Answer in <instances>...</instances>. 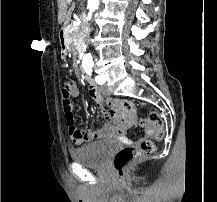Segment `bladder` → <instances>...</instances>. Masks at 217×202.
I'll use <instances>...</instances> for the list:
<instances>
[{"mask_svg":"<svg viewBox=\"0 0 217 202\" xmlns=\"http://www.w3.org/2000/svg\"><path fill=\"white\" fill-rule=\"evenodd\" d=\"M118 148L116 140H104L72 150L71 157L84 166H100Z\"/></svg>","mask_w":217,"mask_h":202,"instance_id":"obj_1","label":"bladder"}]
</instances>
